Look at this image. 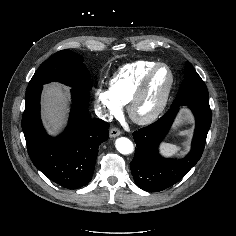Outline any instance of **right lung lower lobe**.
<instances>
[{"mask_svg":"<svg viewBox=\"0 0 236 236\" xmlns=\"http://www.w3.org/2000/svg\"><path fill=\"white\" fill-rule=\"evenodd\" d=\"M42 86L27 89L22 117L27 149L33 164L58 185L77 189L92 178L99 145L108 138L109 124L91 119L86 90L72 88L69 124L59 137L46 134L40 119Z\"/></svg>","mask_w":236,"mask_h":236,"instance_id":"98d812e1","label":"right lung lower lobe"}]
</instances>
